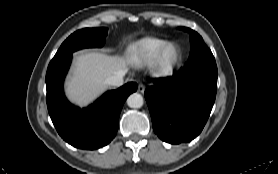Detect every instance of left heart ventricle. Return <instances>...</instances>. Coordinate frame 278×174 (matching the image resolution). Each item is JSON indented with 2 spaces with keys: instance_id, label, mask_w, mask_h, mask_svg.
Here are the masks:
<instances>
[{
  "instance_id": "left-heart-ventricle-1",
  "label": "left heart ventricle",
  "mask_w": 278,
  "mask_h": 174,
  "mask_svg": "<svg viewBox=\"0 0 278 174\" xmlns=\"http://www.w3.org/2000/svg\"><path fill=\"white\" fill-rule=\"evenodd\" d=\"M177 57V49L170 48L165 54V61L170 63Z\"/></svg>"
}]
</instances>
